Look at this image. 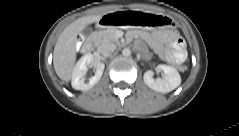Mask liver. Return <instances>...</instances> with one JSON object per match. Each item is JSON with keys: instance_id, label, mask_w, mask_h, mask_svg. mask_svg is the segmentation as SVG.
I'll return each instance as SVG.
<instances>
[{"instance_id": "obj_1", "label": "liver", "mask_w": 239, "mask_h": 136, "mask_svg": "<svg viewBox=\"0 0 239 136\" xmlns=\"http://www.w3.org/2000/svg\"><path fill=\"white\" fill-rule=\"evenodd\" d=\"M102 15L78 18L68 25L60 34L55 44L53 64L56 74L63 81H70L76 61V42L78 34L86 26L99 21Z\"/></svg>"}]
</instances>
